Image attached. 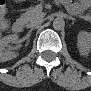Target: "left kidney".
I'll return each instance as SVG.
<instances>
[{
	"instance_id": "left-kidney-1",
	"label": "left kidney",
	"mask_w": 91,
	"mask_h": 91,
	"mask_svg": "<svg viewBox=\"0 0 91 91\" xmlns=\"http://www.w3.org/2000/svg\"><path fill=\"white\" fill-rule=\"evenodd\" d=\"M77 46L79 49V52L83 56H87L90 53L91 50V36L90 34L86 32H80L78 34V42Z\"/></svg>"
}]
</instances>
